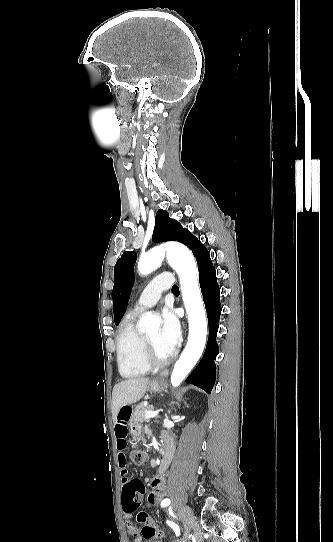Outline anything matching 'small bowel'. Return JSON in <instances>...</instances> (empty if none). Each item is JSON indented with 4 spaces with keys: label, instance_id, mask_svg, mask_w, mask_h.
<instances>
[{
    "label": "small bowel",
    "instance_id": "1",
    "mask_svg": "<svg viewBox=\"0 0 333 542\" xmlns=\"http://www.w3.org/2000/svg\"><path fill=\"white\" fill-rule=\"evenodd\" d=\"M132 413H133V410H132L131 406H129V405H120L119 408H118V415H117V418L115 420V425H114L115 443H116V449L119 452V467H120L121 473H122L123 497H131V491L127 488L129 479H127V477L125 476V474H126V457L124 455V451L126 450L127 445H128V441H127L128 424L131 421ZM167 448H169V446H167ZM150 485H151V491L148 494V501L152 505H158L162 501V499H163V497L165 496V493H166L165 475L164 474L160 475L159 473H157L151 479ZM123 519L124 520H129L130 519V514L129 513H124L123 514ZM150 524H151V526L155 527L156 530H157V536H156V538H153V539L163 538L164 537V532L161 531L160 529H158L154 525L153 521H151ZM126 528H127V531L129 532V534L132 535L133 542H142V537L143 536L141 534H139V532L137 531L136 526L131 521L126 522Z\"/></svg>",
    "mask_w": 333,
    "mask_h": 542
}]
</instances>
